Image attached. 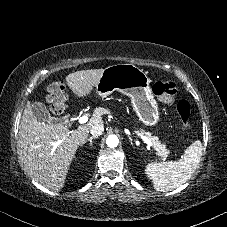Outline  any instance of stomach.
<instances>
[{
	"mask_svg": "<svg viewBox=\"0 0 227 227\" xmlns=\"http://www.w3.org/2000/svg\"><path fill=\"white\" fill-rule=\"evenodd\" d=\"M150 82L146 72L134 64H117L103 70L95 90L101 97L116 90L129 96L139 120L145 125L154 126L159 121V109Z\"/></svg>",
	"mask_w": 227,
	"mask_h": 227,
	"instance_id": "stomach-1",
	"label": "stomach"
}]
</instances>
